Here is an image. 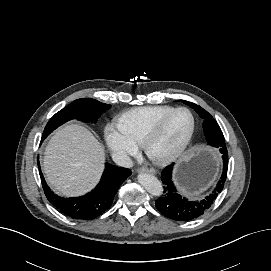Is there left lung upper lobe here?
I'll list each match as a JSON object with an SVG mask.
<instances>
[{
	"label": "left lung upper lobe",
	"instance_id": "5c2ea615",
	"mask_svg": "<svg viewBox=\"0 0 271 271\" xmlns=\"http://www.w3.org/2000/svg\"><path fill=\"white\" fill-rule=\"evenodd\" d=\"M182 102L192 107L204 119L203 130L208 144L216 148L224 147L225 140L223 133L213 117L199 105L185 100H182Z\"/></svg>",
	"mask_w": 271,
	"mask_h": 271
}]
</instances>
